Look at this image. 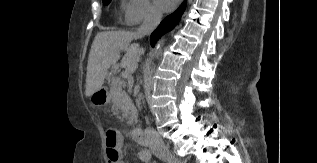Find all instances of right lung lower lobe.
Masks as SVG:
<instances>
[{
	"label": "right lung lower lobe",
	"mask_w": 317,
	"mask_h": 163,
	"mask_svg": "<svg viewBox=\"0 0 317 163\" xmlns=\"http://www.w3.org/2000/svg\"><path fill=\"white\" fill-rule=\"evenodd\" d=\"M185 9V3H183L173 14L167 16L159 25V27L151 34L150 42L154 46V43L159 39L161 35L172 30L179 22Z\"/></svg>",
	"instance_id": "98d812e1"
}]
</instances>
